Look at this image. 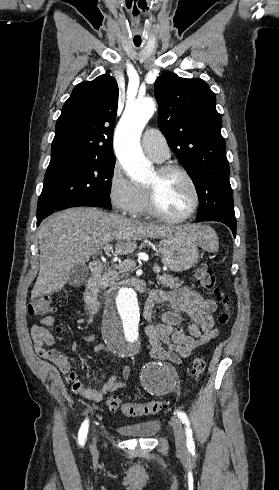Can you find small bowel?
<instances>
[{"instance_id": "c3829d8e", "label": "small bowel", "mask_w": 279, "mask_h": 490, "mask_svg": "<svg viewBox=\"0 0 279 490\" xmlns=\"http://www.w3.org/2000/svg\"><path fill=\"white\" fill-rule=\"evenodd\" d=\"M157 304L168 306L159 323L155 322L154 308ZM216 307L213 299L191 287L172 291L151 290L144 305L143 315L147 321L144 331L152 356L158 360L178 364L183 358L189 357L195 349L219 336L220 330L214 328L213 320ZM184 315L189 317L188 321L183 320ZM54 323L55 319L52 316L42 317L31 326V339L37 354L59 368L73 393L100 402L105 394L118 391L128 385L132 373L129 364H126L119 374L109 378L99 389L90 388L80 381L71 368L72 363L75 362L74 356L62 354L53 347L55 339L48 327ZM84 339L93 341L95 334H87ZM105 349V345L97 344L93 351L99 354ZM96 381L97 377L93 376L92 382Z\"/></svg>"}]
</instances>
